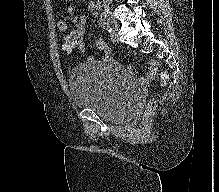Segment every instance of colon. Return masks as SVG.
<instances>
[{"label": "colon", "instance_id": "colon-1", "mask_svg": "<svg viewBox=\"0 0 219 192\" xmlns=\"http://www.w3.org/2000/svg\"><path fill=\"white\" fill-rule=\"evenodd\" d=\"M73 43H74L73 41H68V48H69L70 51L74 50ZM113 63L116 64L117 62L114 61ZM167 81H168V74L166 72H163L161 74V82L163 84H165ZM154 111H155V102L151 101L147 105V108H146L145 115H144L143 119L148 120L154 114Z\"/></svg>", "mask_w": 219, "mask_h": 192}]
</instances>
